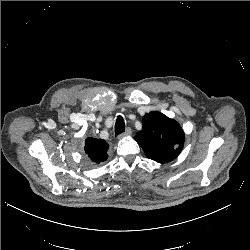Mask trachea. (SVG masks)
<instances>
[{"mask_svg":"<svg viewBox=\"0 0 250 250\" xmlns=\"http://www.w3.org/2000/svg\"><path fill=\"white\" fill-rule=\"evenodd\" d=\"M125 131V122L122 116H118L115 123V134L119 135Z\"/></svg>","mask_w":250,"mask_h":250,"instance_id":"1","label":"trachea"}]
</instances>
